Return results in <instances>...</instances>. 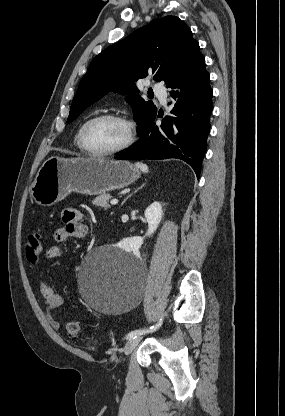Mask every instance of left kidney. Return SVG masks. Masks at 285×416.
<instances>
[{
    "instance_id": "obj_1",
    "label": "left kidney",
    "mask_w": 285,
    "mask_h": 416,
    "mask_svg": "<svg viewBox=\"0 0 285 416\" xmlns=\"http://www.w3.org/2000/svg\"><path fill=\"white\" fill-rule=\"evenodd\" d=\"M144 214L148 222V230L145 236H133V238H125V240H123L124 246H128L131 250H139L142 244H144L145 238H147V236H152V234L156 232L163 216L160 202H153V204H150V206L146 208Z\"/></svg>"
}]
</instances>
